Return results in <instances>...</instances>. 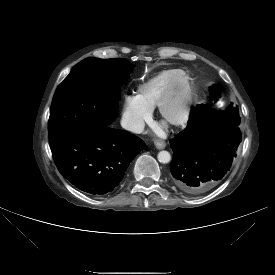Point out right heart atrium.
Instances as JSON below:
<instances>
[{"label":"right heart atrium","instance_id":"d8ad5b80","mask_svg":"<svg viewBox=\"0 0 275 275\" xmlns=\"http://www.w3.org/2000/svg\"><path fill=\"white\" fill-rule=\"evenodd\" d=\"M152 111L145 107L134 95H127L122 106V120L130 131L140 133L150 121Z\"/></svg>","mask_w":275,"mask_h":275}]
</instances>
